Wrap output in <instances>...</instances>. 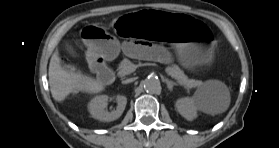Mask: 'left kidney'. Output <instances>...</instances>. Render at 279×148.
Listing matches in <instances>:
<instances>
[{"label":"left kidney","instance_id":"obj_1","mask_svg":"<svg viewBox=\"0 0 279 148\" xmlns=\"http://www.w3.org/2000/svg\"><path fill=\"white\" fill-rule=\"evenodd\" d=\"M176 108L185 119L193 120L197 117V110H204L205 105L195 98L185 97L177 100Z\"/></svg>","mask_w":279,"mask_h":148}]
</instances>
